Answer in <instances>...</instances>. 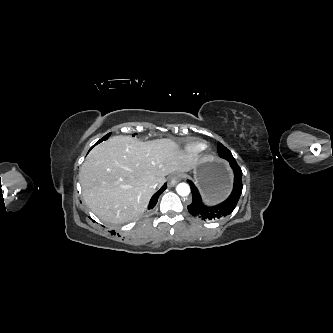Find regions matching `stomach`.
Masks as SVG:
<instances>
[{
  "mask_svg": "<svg viewBox=\"0 0 333 333\" xmlns=\"http://www.w3.org/2000/svg\"><path fill=\"white\" fill-rule=\"evenodd\" d=\"M193 173L196 184L207 202L216 203L229 193L232 176L220 159L211 158L200 162Z\"/></svg>",
  "mask_w": 333,
  "mask_h": 333,
  "instance_id": "1",
  "label": "stomach"
}]
</instances>
